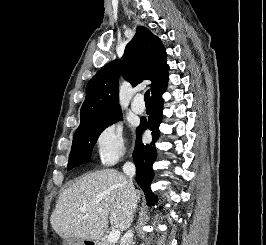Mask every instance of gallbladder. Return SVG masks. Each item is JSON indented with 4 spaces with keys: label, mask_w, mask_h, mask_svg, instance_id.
Wrapping results in <instances>:
<instances>
[{
    "label": "gallbladder",
    "mask_w": 266,
    "mask_h": 245,
    "mask_svg": "<svg viewBox=\"0 0 266 245\" xmlns=\"http://www.w3.org/2000/svg\"><path fill=\"white\" fill-rule=\"evenodd\" d=\"M73 243H75V241H73V239H65V241H64V245H73Z\"/></svg>",
    "instance_id": "1"
}]
</instances>
